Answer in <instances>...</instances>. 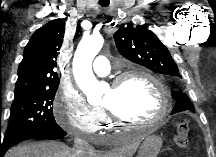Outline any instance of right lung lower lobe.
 Instances as JSON below:
<instances>
[{
    "label": "right lung lower lobe",
    "mask_w": 216,
    "mask_h": 157,
    "mask_svg": "<svg viewBox=\"0 0 216 157\" xmlns=\"http://www.w3.org/2000/svg\"><path fill=\"white\" fill-rule=\"evenodd\" d=\"M66 135V132L61 127H55L50 129H40L28 132L24 135L18 136L11 140H8L2 144H0V157H4L6 151L12 147L13 145L30 139H60Z\"/></svg>",
    "instance_id": "right-lung-lower-lobe-1"
}]
</instances>
